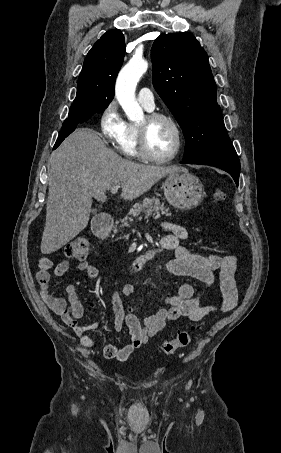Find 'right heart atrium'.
Here are the masks:
<instances>
[{"label": "right heart atrium", "instance_id": "right-heart-atrium-1", "mask_svg": "<svg viewBox=\"0 0 281 453\" xmlns=\"http://www.w3.org/2000/svg\"><path fill=\"white\" fill-rule=\"evenodd\" d=\"M119 78V77H118ZM116 96L128 100L130 96V87L128 79L116 80ZM125 121L120 115L117 101H111L101 112L99 127L103 137L109 142H117L122 135ZM105 156L112 162H116V156L108 151Z\"/></svg>", "mask_w": 281, "mask_h": 453}]
</instances>
